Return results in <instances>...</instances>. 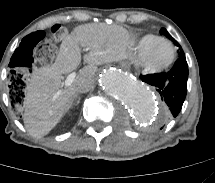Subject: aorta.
I'll return each instance as SVG.
<instances>
[{
    "label": "aorta",
    "instance_id": "762f6f07",
    "mask_svg": "<svg viewBox=\"0 0 215 183\" xmlns=\"http://www.w3.org/2000/svg\"><path fill=\"white\" fill-rule=\"evenodd\" d=\"M99 84L110 97L121 102L144 124H156L164 118V109L146 86L128 73L109 68L99 74Z\"/></svg>",
    "mask_w": 215,
    "mask_h": 183
}]
</instances>
